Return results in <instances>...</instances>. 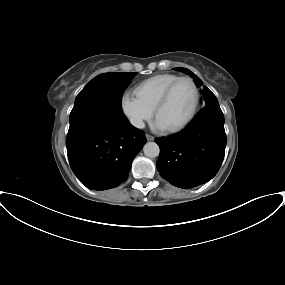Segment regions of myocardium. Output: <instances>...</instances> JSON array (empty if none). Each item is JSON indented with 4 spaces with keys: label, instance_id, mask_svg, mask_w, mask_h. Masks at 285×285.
Segmentation results:
<instances>
[{
    "label": "myocardium",
    "instance_id": "myocardium-1",
    "mask_svg": "<svg viewBox=\"0 0 285 285\" xmlns=\"http://www.w3.org/2000/svg\"><path fill=\"white\" fill-rule=\"evenodd\" d=\"M182 81H188L194 90V94H195V99H194V104L192 107L191 112L189 113V115L178 125L168 128L167 131L170 133H176L179 132L181 130H183L185 127H187L192 120L194 119V117L197 114L198 108H199V104H200V91L198 88V85L196 84V82L191 78V77H187V76H183V77H179L176 80H174L163 92V94L161 95V97L159 98V100L157 101L155 107H154V115L155 117H157V114L159 112V110L168 102V100L170 99V96L173 92V90L175 89V87Z\"/></svg>",
    "mask_w": 285,
    "mask_h": 285
}]
</instances>
